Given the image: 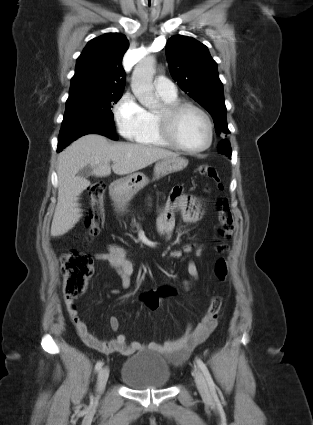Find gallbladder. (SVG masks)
<instances>
[{
	"label": "gallbladder",
	"instance_id": "obj_1",
	"mask_svg": "<svg viewBox=\"0 0 313 425\" xmlns=\"http://www.w3.org/2000/svg\"><path fill=\"white\" fill-rule=\"evenodd\" d=\"M92 174V168L90 166H85L79 171V176L82 178H87Z\"/></svg>",
	"mask_w": 313,
	"mask_h": 425
}]
</instances>
